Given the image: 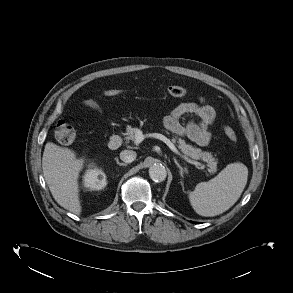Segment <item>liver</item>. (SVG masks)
I'll return each mask as SVG.
<instances>
[{
    "label": "liver",
    "mask_w": 293,
    "mask_h": 293,
    "mask_svg": "<svg viewBox=\"0 0 293 293\" xmlns=\"http://www.w3.org/2000/svg\"><path fill=\"white\" fill-rule=\"evenodd\" d=\"M83 164L84 159H77L73 150L46 143L42 157L45 181L56 202L74 214L82 210L78 179Z\"/></svg>",
    "instance_id": "6515ba94"
}]
</instances>
